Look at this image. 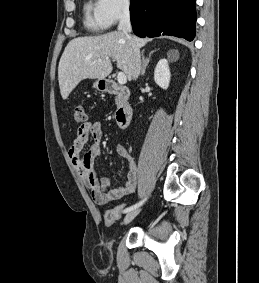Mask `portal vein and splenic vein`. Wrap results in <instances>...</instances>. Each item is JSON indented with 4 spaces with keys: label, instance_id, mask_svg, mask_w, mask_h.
Masks as SVG:
<instances>
[{
    "label": "portal vein and splenic vein",
    "instance_id": "portal-vein-and-splenic-vein-1",
    "mask_svg": "<svg viewBox=\"0 0 259 283\" xmlns=\"http://www.w3.org/2000/svg\"><path fill=\"white\" fill-rule=\"evenodd\" d=\"M117 81L120 85H124L127 82L126 75L123 72H119L117 75Z\"/></svg>",
    "mask_w": 259,
    "mask_h": 283
}]
</instances>
